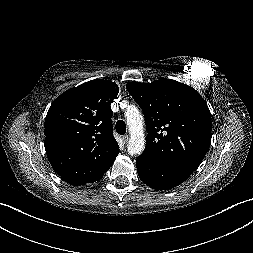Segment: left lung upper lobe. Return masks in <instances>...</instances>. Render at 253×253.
<instances>
[{
  "label": "left lung upper lobe",
  "instance_id": "1",
  "mask_svg": "<svg viewBox=\"0 0 253 253\" xmlns=\"http://www.w3.org/2000/svg\"><path fill=\"white\" fill-rule=\"evenodd\" d=\"M126 88L144 113L146 147L155 163L196 170L211 143V114L192 87L161 78L149 84L130 82Z\"/></svg>",
  "mask_w": 253,
  "mask_h": 253
}]
</instances>
